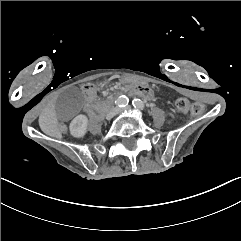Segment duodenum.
<instances>
[{
  "label": "duodenum",
  "mask_w": 241,
  "mask_h": 241,
  "mask_svg": "<svg viewBox=\"0 0 241 241\" xmlns=\"http://www.w3.org/2000/svg\"><path fill=\"white\" fill-rule=\"evenodd\" d=\"M111 103H112V99H107L106 101L96 105L90 113L91 117L93 119L101 118L104 115V113L107 111Z\"/></svg>",
  "instance_id": "duodenum-1"
}]
</instances>
